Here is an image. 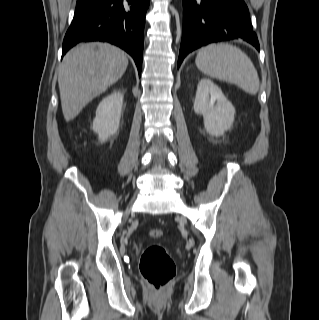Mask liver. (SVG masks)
Wrapping results in <instances>:
<instances>
[{
  "label": "liver",
  "mask_w": 319,
  "mask_h": 320,
  "mask_svg": "<svg viewBox=\"0 0 319 320\" xmlns=\"http://www.w3.org/2000/svg\"><path fill=\"white\" fill-rule=\"evenodd\" d=\"M127 65L124 52L108 43H83L71 49L63 58L58 76L65 120H73L90 101L117 82Z\"/></svg>",
  "instance_id": "6515ba94"
}]
</instances>
